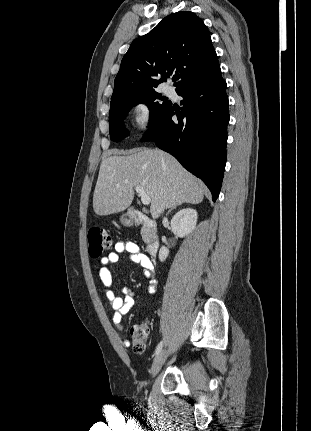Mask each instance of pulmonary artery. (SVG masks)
<instances>
[{"label": "pulmonary artery", "mask_w": 311, "mask_h": 431, "mask_svg": "<svg viewBox=\"0 0 311 431\" xmlns=\"http://www.w3.org/2000/svg\"><path fill=\"white\" fill-rule=\"evenodd\" d=\"M164 92H165L167 95H171V94L173 93V88H172L171 86H166V87L164 88Z\"/></svg>", "instance_id": "pulmonary-artery-1"}]
</instances>
